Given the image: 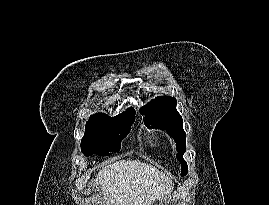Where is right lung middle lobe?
Listing matches in <instances>:
<instances>
[{
    "label": "right lung middle lobe",
    "mask_w": 269,
    "mask_h": 205,
    "mask_svg": "<svg viewBox=\"0 0 269 205\" xmlns=\"http://www.w3.org/2000/svg\"><path fill=\"white\" fill-rule=\"evenodd\" d=\"M135 116L121 119H90L81 141V150L85 156L98 154L106 156L118 152L122 139L129 133Z\"/></svg>",
    "instance_id": "right-lung-middle-lobe-1"
}]
</instances>
